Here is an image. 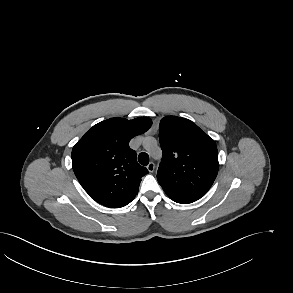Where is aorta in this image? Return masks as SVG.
Here are the masks:
<instances>
[{
    "mask_svg": "<svg viewBox=\"0 0 293 293\" xmlns=\"http://www.w3.org/2000/svg\"><path fill=\"white\" fill-rule=\"evenodd\" d=\"M148 142H153V139L148 138V139L146 140V143H148Z\"/></svg>",
    "mask_w": 293,
    "mask_h": 293,
    "instance_id": "1",
    "label": "aorta"
}]
</instances>
